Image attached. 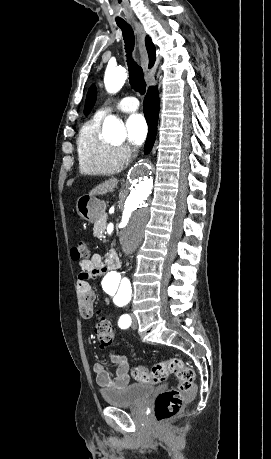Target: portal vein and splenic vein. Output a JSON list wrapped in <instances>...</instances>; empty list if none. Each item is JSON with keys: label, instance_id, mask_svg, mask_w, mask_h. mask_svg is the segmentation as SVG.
<instances>
[{"label": "portal vein and splenic vein", "instance_id": "portal-vein-and-splenic-vein-1", "mask_svg": "<svg viewBox=\"0 0 271 459\" xmlns=\"http://www.w3.org/2000/svg\"><path fill=\"white\" fill-rule=\"evenodd\" d=\"M103 228H107V225H103Z\"/></svg>", "mask_w": 271, "mask_h": 459}]
</instances>
